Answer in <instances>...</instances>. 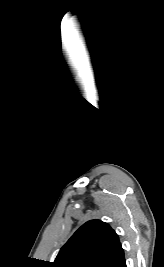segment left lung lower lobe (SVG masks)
I'll return each mask as SVG.
<instances>
[{
  "instance_id": "1",
  "label": "left lung lower lobe",
  "mask_w": 164,
  "mask_h": 267,
  "mask_svg": "<svg viewBox=\"0 0 164 267\" xmlns=\"http://www.w3.org/2000/svg\"><path fill=\"white\" fill-rule=\"evenodd\" d=\"M106 267H127L124 258V251L122 247L118 252L112 257Z\"/></svg>"
}]
</instances>
